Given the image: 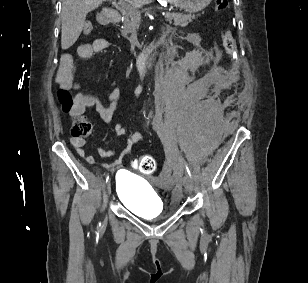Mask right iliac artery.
<instances>
[{
	"mask_svg": "<svg viewBox=\"0 0 308 283\" xmlns=\"http://www.w3.org/2000/svg\"><path fill=\"white\" fill-rule=\"evenodd\" d=\"M108 180H109V174H108L107 177H106V182H108Z\"/></svg>",
	"mask_w": 308,
	"mask_h": 283,
	"instance_id": "82829eb1",
	"label": "right iliac artery"
}]
</instances>
